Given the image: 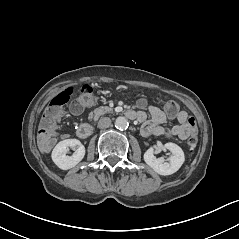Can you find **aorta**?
I'll return each instance as SVG.
<instances>
[{"instance_id": "1", "label": "aorta", "mask_w": 239, "mask_h": 239, "mask_svg": "<svg viewBox=\"0 0 239 239\" xmlns=\"http://www.w3.org/2000/svg\"><path fill=\"white\" fill-rule=\"evenodd\" d=\"M115 126L119 130H125L128 128V121L125 117H118L115 121Z\"/></svg>"}]
</instances>
